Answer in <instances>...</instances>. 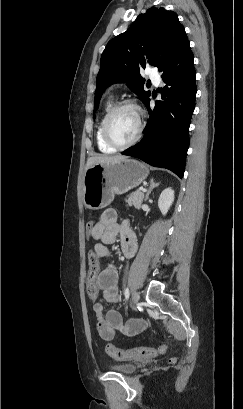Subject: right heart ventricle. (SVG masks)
I'll return each mask as SVG.
<instances>
[{"instance_id":"right-heart-ventricle-1","label":"right heart ventricle","mask_w":243,"mask_h":409,"mask_svg":"<svg viewBox=\"0 0 243 409\" xmlns=\"http://www.w3.org/2000/svg\"><path fill=\"white\" fill-rule=\"evenodd\" d=\"M112 105L111 102L109 101L103 111L102 117L100 119V122L98 124L97 130H96V143H97V147L99 149L100 152L102 153H106V154H111L116 152V149L111 147L110 145H108L106 143V141L103 138V123L105 120V117L107 116L108 112L110 111Z\"/></svg>"}]
</instances>
